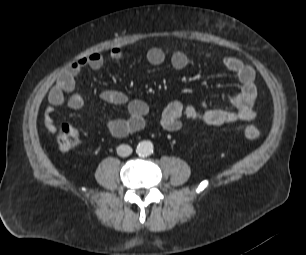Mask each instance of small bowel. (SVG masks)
Masks as SVG:
<instances>
[{
	"label": "small bowel",
	"mask_w": 306,
	"mask_h": 255,
	"mask_svg": "<svg viewBox=\"0 0 306 255\" xmlns=\"http://www.w3.org/2000/svg\"><path fill=\"white\" fill-rule=\"evenodd\" d=\"M109 56L113 60H120L123 51L114 47L110 50ZM210 60L218 59L221 64L238 78L241 88L229 97L230 109H210L206 101H201L198 106L185 105L179 101L170 102L162 111L159 123L167 131H179L184 125V120H200L211 126H219L238 121H251L256 118L254 103L257 98V87L255 84L254 69L244 64L234 56H222L218 58L211 52L205 54ZM148 62L158 66L166 61L165 52L158 47L150 48L146 53ZM106 58L101 53H92L86 57L77 59L62 70L55 81V84L48 92L49 106L44 114V126L49 132L56 131L53 120L55 107L67 104L73 110H79L84 105V98L81 94L74 92L76 77L83 69L93 71L101 70ZM169 62L176 70L185 68L188 64V57L183 51H174ZM103 102L124 107L126 116L113 119L107 122L108 131L115 137H123L141 130L145 125L148 115V105L139 99L131 100L128 96L118 90L107 89L100 93Z\"/></svg>",
	"instance_id": "small-bowel-1"
}]
</instances>
